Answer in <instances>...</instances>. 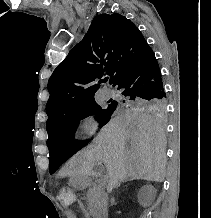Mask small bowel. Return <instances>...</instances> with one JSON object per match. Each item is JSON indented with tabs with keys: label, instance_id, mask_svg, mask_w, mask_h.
<instances>
[{
	"label": "small bowel",
	"instance_id": "1",
	"mask_svg": "<svg viewBox=\"0 0 211 218\" xmlns=\"http://www.w3.org/2000/svg\"><path fill=\"white\" fill-rule=\"evenodd\" d=\"M79 206L83 209V206L81 204H79Z\"/></svg>",
	"mask_w": 211,
	"mask_h": 218
}]
</instances>
